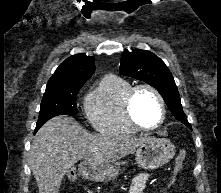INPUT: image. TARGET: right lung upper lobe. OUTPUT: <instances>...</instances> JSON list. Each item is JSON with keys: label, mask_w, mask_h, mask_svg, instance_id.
<instances>
[{"label": "right lung upper lobe", "mask_w": 221, "mask_h": 193, "mask_svg": "<svg viewBox=\"0 0 221 193\" xmlns=\"http://www.w3.org/2000/svg\"><path fill=\"white\" fill-rule=\"evenodd\" d=\"M94 60L83 53L67 58L51 76L46 89L82 86L94 73Z\"/></svg>", "instance_id": "right-lung-upper-lobe-1"}]
</instances>
